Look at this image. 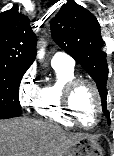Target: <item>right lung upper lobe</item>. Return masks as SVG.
I'll list each match as a JSON object with an SVG mask.
<instances>
[{"label": "right lung upper lobe", "instance_id": "cb5924a9", "mask_svg": "<svg viewBox=\"0 0 114 156\" xmlns=\"http://www.w3.org/2000/svg\"><path fill=\"white\" fill-rule=\"evenodd\" d=\"M36 56V35L18 6L0 13V66L27 70Z\"/></svg>", "mask_w": 114, "mask_h": 156}]
</instances>
